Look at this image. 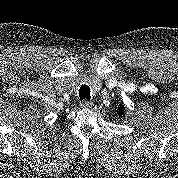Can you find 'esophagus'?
<instances>
[{
	"mask_svg": "<svg viewBox=\"0 0 178 178\" xmlns=\"http://www.w3.org/2000/svg\"><path fill=\"white\" fill-rule=\"evenodd\" d=\"M80 106L82 108H90L92 106V102L88 101V100H82L80 102Z\"/></svg>",
	"mask_w": 178,
	"mask_h": 178,
	"instance_id": "1",
	"label": "esophagus"
}]
</instances>
